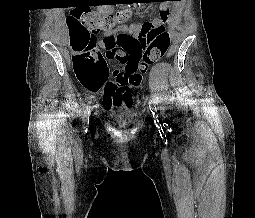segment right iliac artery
Segmentation results:
<instances>
[{"mask_svg":"<svg viewBox=\"0 0 255 218\" xmlns=\"http://www.w3.org/2000/svg\"><path fill=\"white\" fill-rule=\"evenodd\" d=\"M89 108L87 107V111L85 112L84 115V119H83V124H84V128H87L88 124H89Z\"/></svg>","mask_w":255,"mask_h":218,"instance_id":"1","label":"right iliac artery"}]
</instances>
